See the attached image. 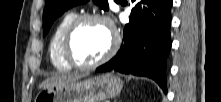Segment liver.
Here are the masks:
<instances>
[{"mask_svg": "<svg viewBox=\"0 0 221 102\" xmlns=\"http://www.w3.org/2000/svg\"><path fill=\"white\" fill-rule=\"evenodd\" d=\"M81 76L79 75H60V76H55L51 77L44 82H42L39 86L40 89H47L55 86H61L66 83L76 81L80 78Z\"/></svg>", "mask_w": 221, "mask_h": 102, "instance_id": "liver-1", "label": "liver"}]
</instances>
